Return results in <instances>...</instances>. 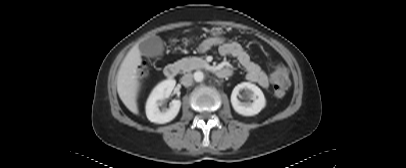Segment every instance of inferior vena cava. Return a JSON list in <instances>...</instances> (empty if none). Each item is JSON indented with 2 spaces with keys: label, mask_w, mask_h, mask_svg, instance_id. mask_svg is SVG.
<instances>
[{
  "label": "inferior vena cava",
  "mask_w": 406,
  "mask_h": 168,
  "mask_svg": "<svg viewBox=\"0 0 406 168\" xmlns=\"http://www.w3.org/2000/svg\"><path fill=\"white\" fill-rule=\"evenodd\" d=\"M181 81L185 87H189L193 83V75L191 73H187L182 77Z\"/></svg>",
  "instance_id": "1"
}]
</instances>
